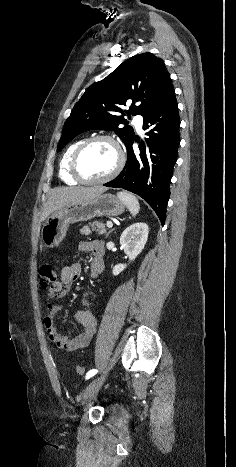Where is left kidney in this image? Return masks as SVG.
I'll use <instances>...</instances> for the list:
<instances>
[{"mask_svg":"<svg viewBox=\"0 0 236 467\" xmlns=\"http://www.w3.org/2000/svg\"><path fill=\"white\" fill-rule=\"evenodd\" d=\"M148 233V225L143 222L132 224L122 233L120 244L130 261H133L144 249ZM126 266V264L115 265L112 270L113 275H119Z\"/></svg>","mask_w":236,"mask_h":467,"instance_id":"obj_1","label":"left kidney"}]
</instances>
